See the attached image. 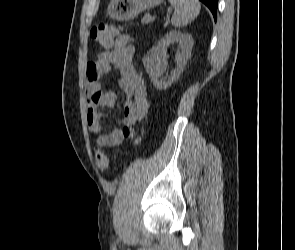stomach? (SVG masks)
Listing matches in <instances>:
<instances>
[{
  "label": "stomach",
  "instance_id": "obj_1",
  "mask_svg": "<svg viewBox=\"0 0 295 250\" xmlns=\"http://www.w3.org/2000/svg\"><path fill=\"white\" fill-rule=\"evenodd\" d=\"M162 2L163 0H111L107 8V15L116 20H129Z\"/></svg>",
  "mask_w": 295,
  "mask_h": 250
}]
</instances>
